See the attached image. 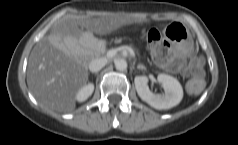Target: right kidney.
I'll list each match as a JSON object with an SVG mask.
<instances>
[{
    "instance_id": "1",
    "label": "right kidney",
    "mask_w": 238,
    "mask_h": 145,
    "mask_svg": "<svg viewBox=\"0 0 238 145\" xmlns=\"http://www.w3.org/2000/svg\"><path fill=\"white\" fill-rule=\"evenodd\" d=\"M94 91V85L92 83H88L87 85H84L79 89V91L76 93V100L78 102H83L87 100Z\"/></svg>"
}]
</instances>
